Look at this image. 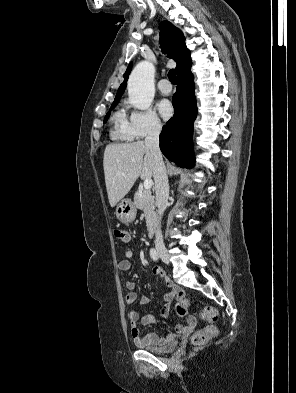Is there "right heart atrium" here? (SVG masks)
<instances>
[{
    "label": "right heart atrium",
    "instance_id": "obj_1",
    "mask_svg": "<svg viewBox=\"0 0 296 393\" xmlns=\"http://www.w3.org/2000/svg\"><path fill=\"white\" fill-rule=\"evenodd\" d=\"M130 126L134 138L137 139L159 134L162 130L161 120L151 109L133 110L130 115Z\"/></svg>",
    "mask_w": 296,
    "mask_h": 393
}]
</instances>
